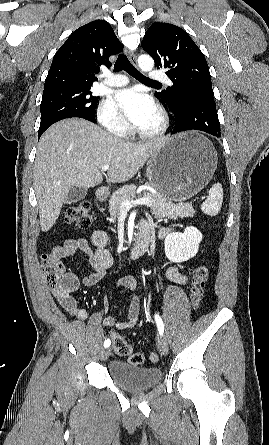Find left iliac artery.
Masks as SVG:
<instances>
[{
	"label": "left iliac artery",
	"mask_w": 269,
	"mask_h": 445,
	"mask_svg": "<svg viewBox=\"0 0 269 445\" xmlns=\"http://www.w3.org/2000/svg\"><path fill=\"white\" fill-rule=\"evenodd\" d=\"M155 320H156V324L158 327V331L160 333V335H163L164 332V324L162 319L160 318V316L158 314H155Z\"/></svg>",
	"instance_id": "obj_1"
}]
</instances>
